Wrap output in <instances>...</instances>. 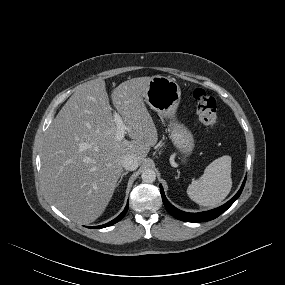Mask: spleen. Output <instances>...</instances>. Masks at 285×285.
Instances as JSON below:
<instances>
[{"instance_id":"spleen-1","label":"spleen","mask_w":285,"mask_h":285,"mask_svg":"<svg viewBox=\"0 0 285 285\" xmlns=\"http://www.w3.org/2000/svg\"><path fill=\"white\" fill-rule=\"evenodd\" d=\"M232 188L231 157H219L211 162L203 175L187 188L189 198L202 206H216L229 194Z\"/></svg>"}]
</instances>
